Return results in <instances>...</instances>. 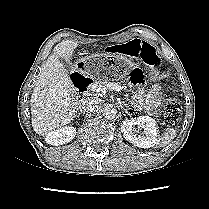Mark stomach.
<instances>
[{
    "label": "stomach",
    "instance_id": "0dacf381",
    "mask_svg": "<svg viewBox=\"0 0 209 209\" xmlns=\"http://www.w3.org/2000/svg\"><path fill=\"white\" fill-rule=\"evenodd\" d=\"M134 65L131 58L118 54L91 55L77 57L72 64L73 70L91 81L110 82L123 79L129 67Z\"/></svg>",
    "mask_w": 209,
    "mask_h": 209
}]
</instances>
